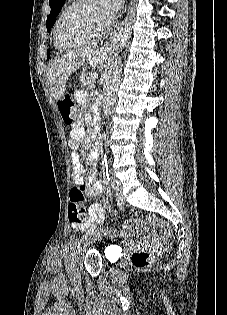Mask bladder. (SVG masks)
I'll return each mask as SVG.
<instances>
[{"instance_id":"31cf9c89","label":"bladder","mask_w":227,"mask_h":315,"mask_svg":"<svg viewBox=\"0 0 227 315\" xmlns=\"http://www.w3.org/2000/svg\"><path fill=\"white\" fill-rule=\"evenodd\" d=\"M106 254H107V258L112 261L114 257L113 252L111 250H107Z\"/></svg>"}]
</instances>
